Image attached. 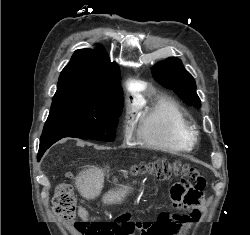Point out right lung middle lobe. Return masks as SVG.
<instances>
[{"label": "right lung middle lobe", "instance_id": "right-lung-middle-lobe-1", "mask_svg": "<svg viewBox=\"0 0 250 235\" xmlns=\"http://www.w3.org/2000/svg\"><path fill=\"white\" fill-rule=\"evenodd\" d=\"M121 95L53 99L40 141L64 137L114 141L123 107Z\"/></svg>", "mask_w": 250, "mask_h": 235}]
</instances>
